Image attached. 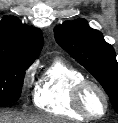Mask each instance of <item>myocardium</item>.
Returning <instances> with one entry per match:
<instances>
[{
  "label": "myocardium",
  "mask_w": 118,
  "mask_h": 123,
  "mask_svg": "<svg viewBox=\"0 0 118 123\" xmlns=\"http://www.w3.org/2000/svg\"><path fill=\"white\" fill-rule=\"evenodd\" d=\"M90 88H93L98 91L104 101V111L99 115H95L89 112V110L84 104L85 93ZM72 104L74 109L88 120L101 119L105 117L109 111V99L103 87L100 86L98 83L87 79L77 83L74 86L72 91Z\"/></svg>",
  "instance_id": "f54148a6"
}]
</instances>
